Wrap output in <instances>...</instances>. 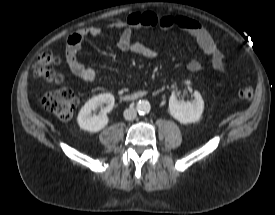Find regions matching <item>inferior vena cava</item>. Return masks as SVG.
Masks as SVG:
<instances>
[{
    "label": "inferior vena cava",
    "mask_w": 275,
    "mask_h": 215,
    "mask_svg": "<svg viewBox=\"0 0 275 215\" xmlns=\"http://www.w3.org/2000/svg\"><path fill=\"white\" fill-rule=\"evenodd\" d=\"M123 115L126 120L131 121L136 118L137 112L134 108H128L124 111Z\"/></svg>",
    "instance_id": "1"
}]
</instances>
